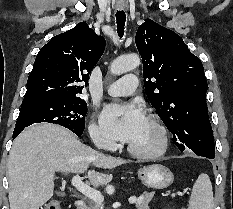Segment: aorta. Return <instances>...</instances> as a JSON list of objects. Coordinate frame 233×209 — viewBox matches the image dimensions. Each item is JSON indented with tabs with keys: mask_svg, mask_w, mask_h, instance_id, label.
I'll return each instance as SVG.
<instances>
[{
	"mask_svg": "<svg viewBox=\"0 0 233 209\" xmlns=\"http://www.w3.org/2000/svg\"><path fill=\"white\" fill-rule=\"evenodd\" d=\"M140 65V58L136 54L119 57L110 65V72L115 75H120L131 71Z\"/></svg>",
	"mask_w": 233,
	"mask_h": 209,
	"instance_id": "aorta-1",
	"label": "aorta"
}]
</instances>
